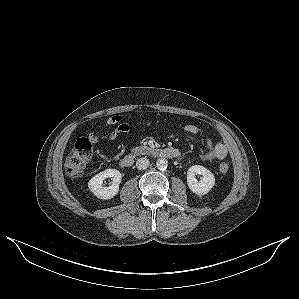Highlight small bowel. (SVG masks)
<instances>
[{
  "label": "small bowel",
  "mask_w": 299,
  "mask_h": 299,
  "mask_svg": "<svg viewBox=\"0 0 299 299\" xmlns=\"http://www.w3.org/2000/svg\"><path fill=\"white\" fill-rule=\"evenodd\" d=\"M122 121V117L118 115L111 116L105 123L104 131L98 132L94 128H88L87 135L91 143H96L100 140L112 141L120 134L128 131V124L121 123L116 129L110 131V128ZM184 130L191 135L198 133V127L188 124ZM208 151L201 155L203 160H223L228 154L227 146L222 142L213 143L210 139L207 140ZM180 152V151H179ZM180 156V155H179Z\"/></svg>",
  "instance_id": "1"
}]
</instances>
